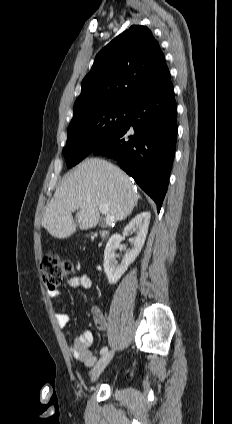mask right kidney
I'll list each match as a JSON object with an SVG mask.
<instances>
[{
  "instance_id": "right-kidney-1",
  "label": "right kidney",
  "mask_w": 232,
  "mask_h": 424,
  "mask_svg": "<svg viewBox=\"0 0 232 424\" xmlns=\"http://www.w3.org/2000/svg\"><path fill=\"white\" fill-rule=\"evenodd\" d=\"M150 217V212H142L136 215L124 228L123 236L120 234H114L109 239L104 251L103 266L108 282L110 284H116L128 269V266L133 263L139 255L145 243ZM133 232L136 234V237L133 241V247L130 251L127 252L121 264L118 265L116 261L115 250L119 247L120 242L124 240V237Z\"/></svg>"
}]
</instances>
